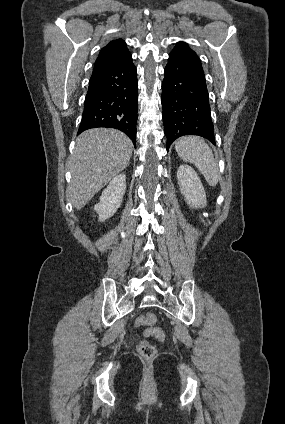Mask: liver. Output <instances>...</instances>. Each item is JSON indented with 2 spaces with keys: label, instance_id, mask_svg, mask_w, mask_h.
<instances>
[{
  "label": "liver",
  "instance_id": "liver-1",
  "mask_svg": "<svg viewBox=\"0 0 285 424\" xmlns=\"http://www.w3.org/2000/svg\"><path fill=\"white\" fill-rule=\"evenodd\" d=\"M133 144L121 131L89 129L78 136L71 162L69 186L76 209L83 208L113 177L128 165Z\"/></svg>",
  "mask_w": 285,
  "mask_h": 424
}]
</instances>
